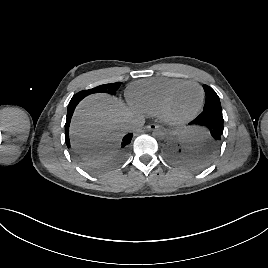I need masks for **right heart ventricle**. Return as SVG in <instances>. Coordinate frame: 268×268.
Instances as JSON below:
<instances>
[{
    "label": "right heart ventricle",
    "mask_w": 268,
    "mask_h": 268,
    "mask_svg": "<svg viewBox=\"0 0 268 268\" xmlns=\"http://www.w3.org/2000/svg\"><path fill=\"white\" fill-rule=\"evenodd\" d=\"M186 82L179 78H150L132 83L127 89L130 105L145 115H158L163 99L175 86Z\"/></svg>",
    "instance_id": "right-heart-ventricle-1"
}]
</instances>
